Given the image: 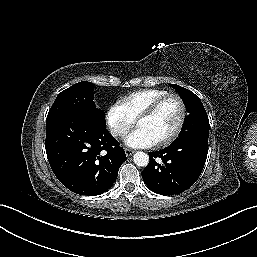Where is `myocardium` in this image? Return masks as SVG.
Instances as JSON below:
<instances>
[{"mask_svg":"<svg viewBox=\"0 0 257 257\" xmlns=\"http://www.w3.org/2000/svg\"><path fill=\"white\" fill-rule=\"evenodd\" d=\"M172 98L176 99L180 105V110H181L180 118H179L178 124H177L176 128L174 129V131L169 136L163 138L162 140H160L156 143L158 146L168 145V144L172 143L174 140H176V138L180 135V133L183 129V126L185 124V121H186V116H187V108H186V104H185L183 98L179 94L169 93V94L159 98L155 102H153L137 118V123H138V121L141 119L153 116L165 102H167L169 99H172Z\"/></svg>","mask_w":257,"mask_h":257,"instance_id":"obj_1","label":"myocardium"}]
</instances>
